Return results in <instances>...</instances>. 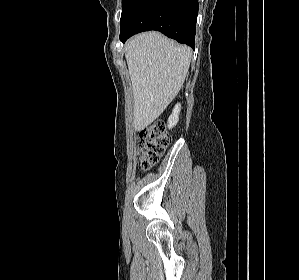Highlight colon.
<instances>
[{"mask_svg":"<svg viewBox=\"0 0 299 280\" xmlns=\"http://www.w3.org/2000/svg\"><path fill=\"white\" fill-rule=\"evenodd\" d=\"M169 143L170 136L163 121L157 120L143 129L139 134L142 169L148 170L157 163Z\"/></svg>","mask_w":299,"mask_h":280,"instance_id":"obj_1","label":"colon"}]
</instances>
